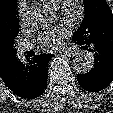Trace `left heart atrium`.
<instances>
[{
  "label": "left heart atrium",
  "mask_w": 113,
  "mask_h": 113,
  "mask_svg": "<svg viewBox=\"0 0 113 113\" xmlns=\"http://www.w3.org/2000/svg\"><path fill=\"white\" fill-rule=\"evenodd\" d=\"M70 28L67 24H58L43 31L38 36V43L44 50H57L64 45L65 38L69 35Z\"/></svg>",
  "instance_id": "left-heart-atrium-1"
}]
</instances>
